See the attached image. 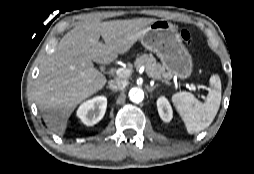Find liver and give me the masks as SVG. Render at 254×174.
Returning a JSON list of instances; mask_svg holds the SVG:
<instances>
[{
	"instance_id": "1",
	"label": "liver",
	"mask_w": 254,
	"mask_h": 174,
	"mask_svg": "<svg viewBox=\"0 0 254 174\" xmlns=\"http://www.w3.org/2000/svg\"><path fill=\"white\" fill-rule=\"evenodd\" d=\"M154 21L152 18L92 21L65 34L41 67L36 81V102L47 126L59 135L64 134L77 105L107 82L93 62L107 64L119 54L127 53ZM100 36L105 43L99 41Z\"/></svg>"
}]
</instances>
